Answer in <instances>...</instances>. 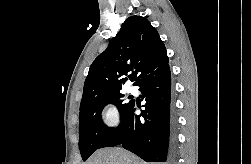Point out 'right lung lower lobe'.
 Segmentation results:
<instances>
[{
  "label": "right lung lower lobe",
  "mask_w": 251,
  "mask_h": 164,
  "mask_svg": "<svg viewBox=\"0 0 251 164\" xmlns=\"http://www.w3.org/2000/svg\"><path fill=\"white\" fill-rule=\"evenodd\" d=\"M137 86L146 101V109L141 115H136L135 104L132 103L121 124L113 129L99 148L122 145L146 162L174 163L175 120L170 111L169 65L147 74Z\"/></svg>",
  "instance_id": "obj_1"
}]
</instances>
